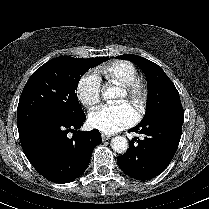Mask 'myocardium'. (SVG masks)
<instances>
[{"label": "myocardium", "instance_id": "myocardium-1", "mask_svg": "<svg viewBox=\"0 0 209 209\" xmlns=\"http://www.w3.org/2000/svg\"><path fill=\"white\" fill-rule=\"evenodd\" d=\"M121 87L129 100L134 103L139 115H142L146 109L149 96V88L147 83L143 79L136 77L128 84Z\"/></svg>", "mask_w": 209, "mask_h": 209}]
</instances>
